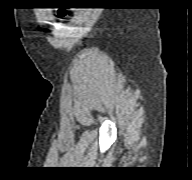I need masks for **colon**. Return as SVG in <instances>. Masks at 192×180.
Returning <instances> with one entry per match:
<instances>
[{"label": "colon", "mask_w": 192, "mask_h": 180, "mask_svg": "<svg viewBox=\"0 0 192 180\" xmlns=\"http://www.w3.org/2000/svg\"><path fill=\"white\" fill-rule=\"evenodd\" d=\"M60 14L62 17H64L66 15L65 11H61Z\"/></svg>", "instance_id": "5ec220e1"}]
</instances>
